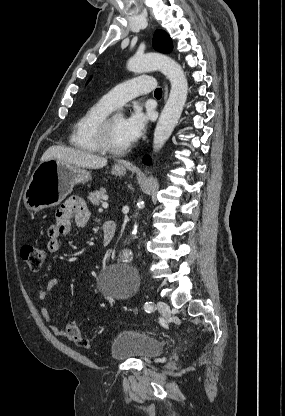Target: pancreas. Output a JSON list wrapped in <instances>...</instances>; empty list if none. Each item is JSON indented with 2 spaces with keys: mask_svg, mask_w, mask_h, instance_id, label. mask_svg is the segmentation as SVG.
Masks as SVG:
<instances>
[{
  "mask_svg": "<svg viewBox=\"0 0 285 416\" xmlns=\"http://www.w3.org/2000/svg\"><path fill=\"white\" fill-rule=\"evenodd\" d=\"M102 196H106V190H104V188L96 190V192H90V194H88V200H90L93 206H99Z\"/></svg>",
  "mask_w": 285,
  "mask_h": 416,
  "instance_id": "cf45deb5",
  "label": "pancreas"
}]
</instances>
